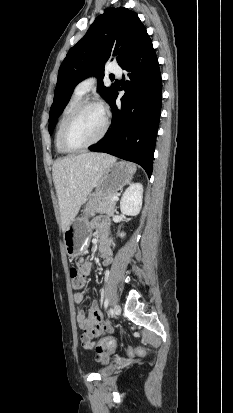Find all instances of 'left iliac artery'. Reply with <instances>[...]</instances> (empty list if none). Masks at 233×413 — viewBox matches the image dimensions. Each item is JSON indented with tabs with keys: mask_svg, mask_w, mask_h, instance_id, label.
<instances>
[{
	"mask_svg": "<svg viewBox=\"0 0 233 413\" xmlns=\"http://www.w3.org/2000/svg\"><path fill=\"white\" fill-rule=\"evenodd\" d=\"M108 304H109V300H108V299H105V301H104V308H105V309L108 307Z\"/></svg>",
	"mask_w": 233,
	"mask_h": 413,
	"instance_id": "left-iliac-artery-1",
	"label": "left iliac artery"
}]
</instances>
